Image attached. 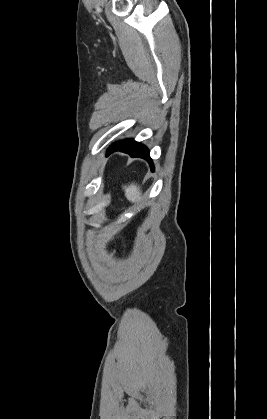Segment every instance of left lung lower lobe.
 Segmentation results:
<instances>
[{"mask_svg":"<svg viewBox=\"0 0 267 419\" xmlns=\"http://www.w3.org/2000/svg\"><path fill=\"white\" fill-rule=\"evenodd\" d=\"M115 151L128 153L131 157H140V158L146 159L151 166V170L152 171L154 170L152 159L150 158V155H149V150L144 145L132 139H125L123 141L115 143L108 149L107 155Z\"/></svg>","mask_w":267,"mask_h":419,"instance_id":"1","label":"left lung lower lobe"}]
</instances>
